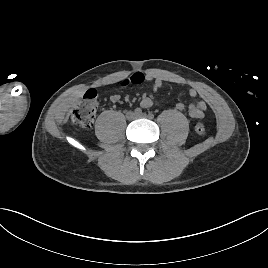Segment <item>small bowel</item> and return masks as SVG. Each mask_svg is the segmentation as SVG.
<instances>
[{"label": "small bowel", "instance_id": "obj_1", "mask_svg": "<svg viewBox=\"0 0 268 268\" xmlns=\"http://www.w3.org/2000/svg\"><path fill=\"white\" fill-rule=\"evenodd\" d=\"M143 82H149L152 85L153 91H158L163 86V80L160 77H156L151 74H143L141 72H136L132 74L130 77H128L123 81V84H140ZM188 95L191 98H195L198 95V92L195 88H189ZM120 100L121 97L119 95H113L110 97V101L112 103H117ZM140 105L141 107L147 109L153 105V101L151 97L145 95L142 97ZM176 109L182 111L185 109V105L183 103H177ZM206 109H207L206 103L203 100H200L188 106V113L190 117L194 119H201L203 118Z\"/></svg>", "mask_w": 268, "mask_h": 268}]
</instances>
